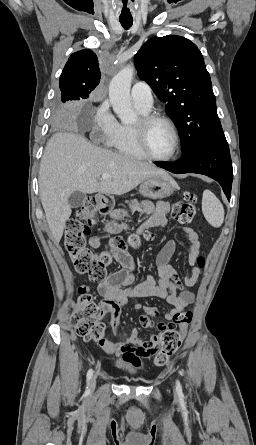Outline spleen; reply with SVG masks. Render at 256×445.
I'll use <instances>...</instances> for the list:
<instances>
[{"label": "spleen", "instance_id": "spleen-1", "mask_svg": "<svg viewBox=\"0 0 256 445\" xmlns=\"http://www.w3.org/2000/svg\"><path fill=\"white\" fill-rule=\"evenodd\" d=\"M202 212L207 222L213 227H220L224 221V208L220 200L210 191L205 190L202 197Z\"/></svg>", "mask_w": 256, "mask_h": 445}]
</instances>
